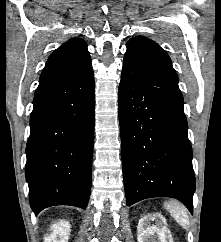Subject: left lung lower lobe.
Instances as JSON below:
<instances>
[{"label": "left lung lower lobe", "instance_id": "0a47b994", "mask_svg": "<svg viewBox=\"0 0 221 242\" xmlns=\"http://www.w3.org/2000/svg\"><path fill=\"white\" fill-rule=\"evenodd\" d=\"M183 96L123 67L119 85L123 179L128 206L172 197L193 213L195 176Z\"/></svg>", "mask_w": 221, "mask_h": 242}]
</instances>
